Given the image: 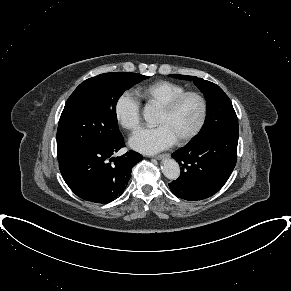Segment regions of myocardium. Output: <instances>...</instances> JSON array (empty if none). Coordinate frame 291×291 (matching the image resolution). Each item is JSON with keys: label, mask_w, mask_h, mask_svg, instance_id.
I'll list each match as a JSON object with an SVG mask.
<instances>
[{"label": "myocardium", "mask_w": 291, "mask_h": 291, "mask_svg": "<svg viewBox=\"0 0 291 291\" xmlns=\"http://www.w3.org/2000/svg\"><path fill=\"white\" fill-rule=\"evenodd\" d=\"M187 97H195L200 103L201 111H200L199 120L196 126L194 127V129L190 133H188L186 136L176 141V143L179 145H183L190 142L203 129L206 119H207V114H208V103L205 96L197 91H185L175 96L173 99H171L169 102H167L165 105H163L160 108L165 113H172L180 105V103Z\"/></svg>", "instance_id": "1"}]
</instances>
